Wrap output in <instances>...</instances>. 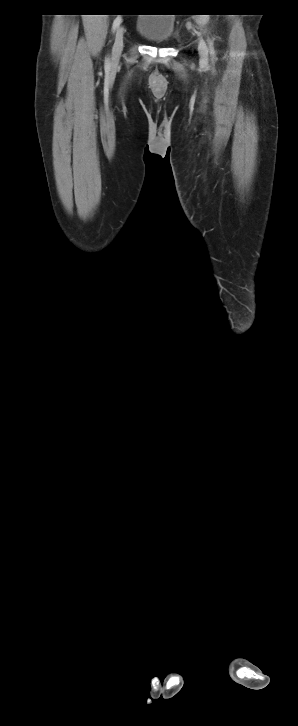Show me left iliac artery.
<instances>
[{
    "label": "left iliac artery",
    "instance_id": "44dca946",
    "mask_svg": "<svg viewBox=\"0 0 298 726\" xmlns=\"http://www.w3.org/2000/svg\"><path fill=\"white\" fill-rule=\"evenodd\" d=\"M208 44H209L210 54L212 57H214L215 56L214 46H213V42L210 39H208Z\"/></svg>",
    "mask_w": 298,
    "mask_h": 726
}]
</instances>
